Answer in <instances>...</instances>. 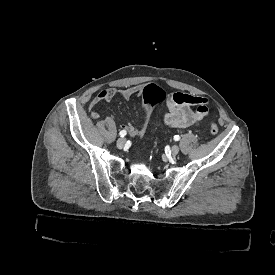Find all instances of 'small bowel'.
I'll use <instances>...</instances> for the list:
<instances>
[{
  "mask_svg": "<svg viewBox=\"0 0 275 275\" xmlns=\"http://www.w3.org/2000/svg\"><path fill=\"white\" fill-rule=\"evenodd\" d=\"M142 91V85H134L122 90L104 89L89 103V115L95 120L99 117V104L101 102L111 101L114 98L128 100L133 96H140ZM165 104L168 112L164 117V124L170 128L182 129L197 126L209 113L208 102L205 98L184 92L171 93ZM122 128L132 135L136 127L131 123H126Z\"/></svg>",
  "mask_w": 275,
  "mask_h": 275,
  "instance_id": "obj_1",
  "label": "small bowel"
}]
</instances>
